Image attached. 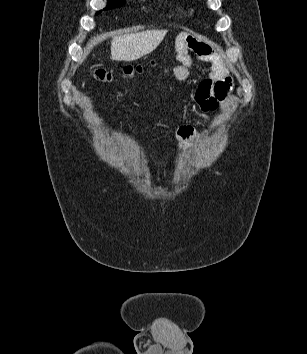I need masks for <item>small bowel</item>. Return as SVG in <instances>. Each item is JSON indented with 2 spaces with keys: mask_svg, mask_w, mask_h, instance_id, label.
Returning <instances> with one entry per match:
<instances>
[{
  "mask_svg": "<svg viewBox=\"0 0 307 354\" xmlns=\"http://www.w3.org/2000/svg\"><path fill=\"white\" fill-rule=\"evenodd\" d=\"M176 59L179 64L173 68L172 76L185 87L188 86L190 79V67L196 61L210 69L209 75L197 89H186L190 100L197 102L204 111H210L218 102L225 99L230 88V78L222 61L208 43L191 37L182 38L176 44ZM206 133V128L197 129L190 125H182L178 127L176 137L187 145Z\"/></svg>",
  "mask_w": 307,
  "mask_h": 354,
  "instance_id": "1",
  "label": "small bowel"
}]
</instances>
